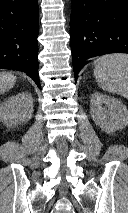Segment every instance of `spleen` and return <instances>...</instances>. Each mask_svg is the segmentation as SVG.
I'll return each mask as SVG.
<instances>
[{"mask_svg":"<svg viewBox=\"0 0 128 213\" xmlns=\"http://www.w3.org/2000/svg\"><path fill=\"white\" fill-rule=\"evenodd\" d=\"M94 76L100 88L128 99V54H110L96 60Z\"/></svg>","mask_w":128,"mask_h":213,"instance_id":"spleen-1","label":"spleen"}]
</instances>
